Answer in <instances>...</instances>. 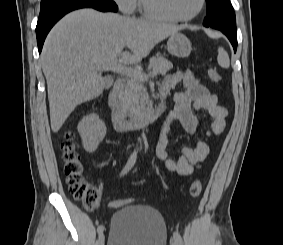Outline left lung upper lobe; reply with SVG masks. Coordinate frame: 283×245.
I'll use <instances>...</instances> for the list:
<instances>
[{
  "instance_id": "5c2ea615",
  "label": "left lung upper lobe",
  "mask_w": 283,
  "mask_h": 245,
  "mask_svg": "<svg viewBox=\"0 0 283 245\" xmlns=\"http://www.w3.org/2000/svg\"><path fill=\"white\" fill-rule=\"evenodd\" d=\"M207 12L203 25L237 34L236 18L230 0H206Z\"/></svg>"
}]
</instances>
